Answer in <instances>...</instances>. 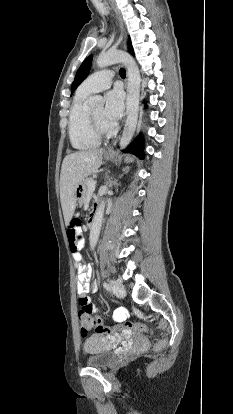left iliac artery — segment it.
<instances>
[{
    "label": "left iliac artery",
    "instance_id": "obj_1",
    "mask_svg": "<svg viewBox=\"0 0 233 414\" xmlns=\"http://www.w3.org/2000/svg\"><path fill=\"white\" fill-rule=\"evenodd\" d=\"M103 286H104V288L106 289V290H110V286H109V284L108 283H106V282H104L103 283Z\"/></svg>",
    "mask_w": 233,
    "mask_h": 414
}]
</instances>
